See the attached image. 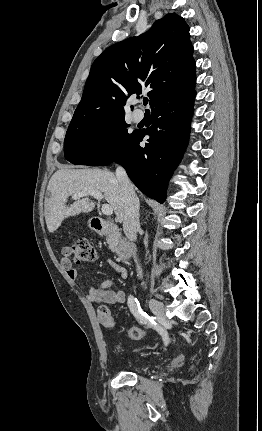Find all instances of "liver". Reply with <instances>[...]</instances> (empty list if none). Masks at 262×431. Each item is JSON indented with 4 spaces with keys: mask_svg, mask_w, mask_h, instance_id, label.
<instances>
[{
    "mask_svg": "<svg viewBox=\"0 0 262 431\" xmlns=\"http://www.w3.org/2000/svg\"><path fill=\"white\" fill-rule=\"evenodd\" d=\"M47 190L51 193V197L45 200V220L51 233L58 229L65 218L93 210L94 203L88 197L77 198L72 205H66L69 196L78 192L103 193V197L113 208L117 220L123 221L124 192L114 173L108 170L61 168L51 177Z\"/></svg>",
    "mask_w": 262,
    "mask_h": 431,
    "instance_id": "liver-1",
    "label": "liver"
}]
</instances>
